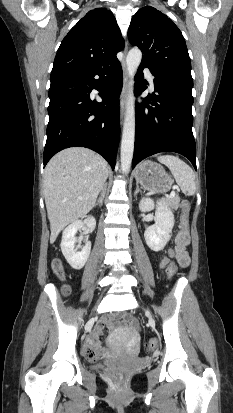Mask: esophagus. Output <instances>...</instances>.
Listing matches in <instances>:
<instances>
[{
  "label": "esophagus",
  "mask_w": 233,
  "mask_h": 413,
  "mask_svg": "<svg viewBox=\"0 0 233 413\" xmlns=\"http://www.w3.org/2000/svg\"><path fill=\"white\" fill-rule=\"evenodd\" d=\"M126 52H127V45L124 49V54L125 55H126ZM122 70H123V87H122V91H121V94H120V102H119L121 122H123V118H124V115H125V107H126V99H127V88H128V80H129L128 70H127L126 62H125L124 59L122 61Z\"/></svg>",
  "instance_id": "obj_1"
}]
</instances>
